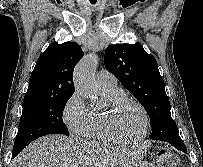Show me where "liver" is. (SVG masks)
Returning <instances> with one entry per match:
<instances>
[{
	"mask_svg": "<svg viewBox=\"0 0 203 167\" xmlns=\"http://www.w3.org/2000/svg\"><path fill=\"white\" fill-rule=\"evenodd\" d=\"M140 159L141 155L119 147L48 135L25 148L10 167H132Z\"/></svg>",
	"mask_w": 203,
	"mask_h": 167,
	"instance_id": "obj_1",
	"label": "liver"
}]
</instances>
